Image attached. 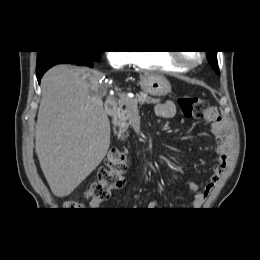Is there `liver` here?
Here are the masks:
<instances>
[{"label": "liver", "mask_w": 260, "mask_h": 260, "mask_svg": "<svg viewBox=\"0 0 260 260\" xmlns=\"http://www.w3.org/2000/svg\"><path fill=\"white\" fill-rule=\"evenodd\" d=\"M103 77L95 69L58 65L41 80L35 150L57 197L71 194L109 149L110 121L103 108Z\"/></svg>", "instance_id": "liver-1"}]
</instances>
